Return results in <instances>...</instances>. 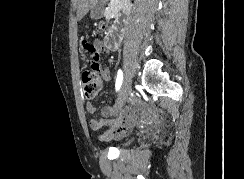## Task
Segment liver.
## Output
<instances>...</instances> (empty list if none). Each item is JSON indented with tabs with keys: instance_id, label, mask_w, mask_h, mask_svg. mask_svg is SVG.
Listing matches in <instances>:
<instances>
[{
	"instance_id": "liver-1",
	"label": "liver",
	"mask_w": 244,
	"mask_h": 179,
	"mask_svg": "<svg viewBox=\"0 0 244 179\" xmlns=\"http://www.w3.org/2000/svg\"><path fill=\"white\" fill-rule=\"evenodd\" d=\"M96 2L97 0H78L77 20H82Z\"/></svg>"
}]
</instances>
